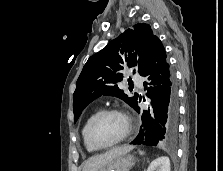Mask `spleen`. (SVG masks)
Instances as JSON below:
<instances>
[{
	"mask_svg": "<svg viewBox=\"0 0 223 171\" xmlns=\"http://www.w3.org/2000/svg\"><path fill=\"white\" fill-rule=\"evenodd\" d=\"M139 153L141 154V155H144L145 154V152L144 151H139Z\"/></svg>",
	"mask_w": 223,
	"mask_h": 171,
	"instance_id": "3e777b00",
	"label": "spleen"
}]
</instances>
